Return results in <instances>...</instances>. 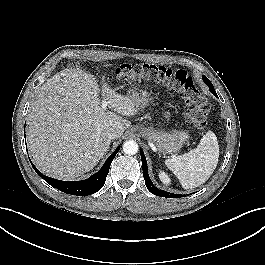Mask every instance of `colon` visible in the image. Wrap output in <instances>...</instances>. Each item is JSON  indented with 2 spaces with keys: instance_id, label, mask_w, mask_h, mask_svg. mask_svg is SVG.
Returning <instances> with one entry per match:
<instances>
[{
  "instance_id": "1",
  "label": "colon",
  "mask_w": 265,
  "mask_h": 265,
  "mask_svg": "<svg viewBox=\"0 0 265 265\" xmlns=\"http://www.w3.org/2000/svg\"><path fill=\"white\" fill-rule=\"evenodd\" d=\"M116 74L124 83L150 82L171 90L186 103L188 122L200 128L207 125L209 105L187 71L152 64H123Z\"/></svg>"
}]
</instances>
